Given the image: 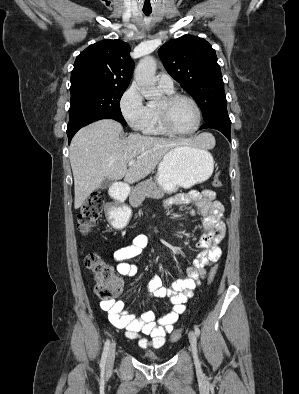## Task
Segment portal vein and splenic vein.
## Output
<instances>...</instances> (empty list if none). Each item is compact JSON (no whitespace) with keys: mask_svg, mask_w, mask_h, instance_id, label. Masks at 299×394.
Here are the masks:
<instances>
[{"mask_svg":"<svg viewBox=\"0 0 299 394\" xmlns=\"http://www.w3.org/2000/svg\"><path fill=\"white\" fill-rule=\"evenodd\" d=\"M134 163H135V159H132V160L129 161L128 165L132 166Z\"/></svg>","mask_w":299,"mask_h":394,"instance_id":"obj_1","label":"portal vein and splenic vein"}]
</instances>
